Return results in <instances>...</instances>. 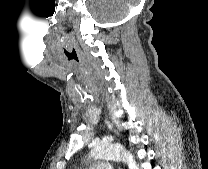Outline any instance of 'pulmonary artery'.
Listing matches in <instances>:
<instances>
[{"label": "pulmonary artery", "instance_id": "e3ab8cb5", "mask_svg": "<svg viewBox=\"0 0 208 169\" xmlns=\"http://www.w3.org/2000/svg\"><path fill=\"white\" fill-rule=\"evenodd\" d=\"M91 169H113L109 160H101L91 166Z\"/></svg>", "mask_w": 208, "mask_h": 169}]
</instances>
